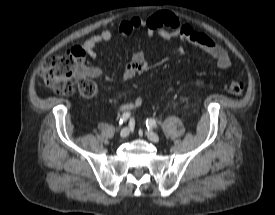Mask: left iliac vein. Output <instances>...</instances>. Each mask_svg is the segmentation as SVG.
I'll list each match as a JSON object with an SVG mask.
<instances>
[{"instance_id":"left-iliac-vein-1","label":"left iliac vein","mask_w":275,"mask_h":215,"mask_svg":"<svg viewBox=\"0 0 275 215\" xmlns=\"http://www.w3.org/2000/svg\"><path fill=\"white\" fill-rule=\"evenodd\" d=\"M145 134L147 138L154 143H158L160 141V137L152 131H146Z\"/></svg>"}]
</instances>
